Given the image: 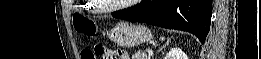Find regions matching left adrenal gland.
Returning a JSON list of instances; mask_svg holds the SVG:
<instances>
[{"mask_svg": "<svg viewBox=\"0 0 261 59\" xmlns=\"http://www.w3.org/2000/svg\"><path fill=\"white\" fill-rule=\"evenodd\" d=\"M169 41L168 42H166V44L165 45H163V46H161V48H159V50L157 51V52H159L160 50H162L163 48H165L166 46H168L169 45Z\"/></svg>", "mask_w": 261, "mask_h": 59, "instance_id": "left-adrenal-gland-1", "label": "left adrenal gland"}]
</instances>
